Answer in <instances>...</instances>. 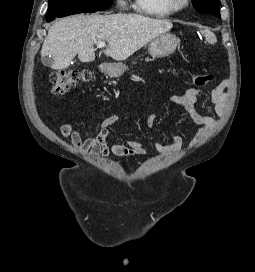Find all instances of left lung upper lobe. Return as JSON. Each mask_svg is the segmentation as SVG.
<instances>
[{"label":"left lung upper lobe","mask_w":255,"mask_h":272,"mask_svg":"<svg viewBox=\"0 0 255 272\" xmlns=\"http://www.w3.org/2000/svg\"><path fill=\"white\" fill-rule=\"evenodd\" d=\"M192 4L200 13H210L219 18L221 17L219 0H192Z\"/></svg>","instance_id":"1"}]
</instances>
